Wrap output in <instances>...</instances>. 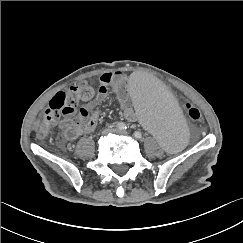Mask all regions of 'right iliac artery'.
Returning a JSON list of instances; mask_svg holds the SVG:
<instances>
[{
  "label": "right iliac artery",
  "instance_id": "obj_1",
  "mask_svg": "<svg viewBox=\"0 0 243 243\" xmlns=\"http://www.w3.org/2000/svg\"><path fill=\"white\" fill-rule=\"evenodd\" d=\"M116 126H117L119 129H121V130H126V129H127L126 125H125L123 122H117V123H116Z\"/></svg>",
  "mask_w": 243,
  "mask_h": 243
}]
</instances>
